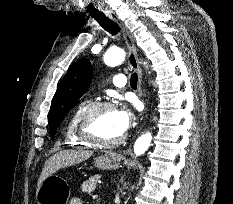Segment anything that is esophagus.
<instances>
[{"label": "esophagus", "instance_id": "1", "mask_svg": "<svg viewBox=\"0 0 233 204\" xmlns=\"http://www.w3.org/2000/svg\"><path fill=\"white\" fill-rule=\"evenodd\" d=\"M106 15L109 16L114 22H116L122 29L124 33V39L126 41L128 47V61L131 68H133L138 74V81L141 85L142 81V70L139 65L137 49L135 45V39L128 28L124 25V23L120 20V18L113 11H106Z\"/></svg>", "mask_w": 233, "mask_h": 204}]
</instances>
